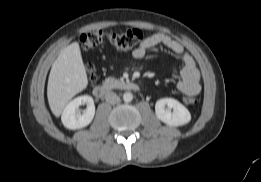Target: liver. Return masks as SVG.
Instances as JSON below:
<instances>
[{
    "label": "liver",
    "instance_id": "1",
    "mask_svg": "<svg viewBox=\"0 0 261 182\" xmlns=\"http://www.w3.org/2000/svg\"><path fill=\"white\" fill-rule=\"evenodd\" d=\"M88 84L78 42L64 48L54 63L48 79L47 97L52 113L59 117L66 104Z\"/></svg>",
    "mask_w": 261,
    "mask_h": 182
}]
</instances>
